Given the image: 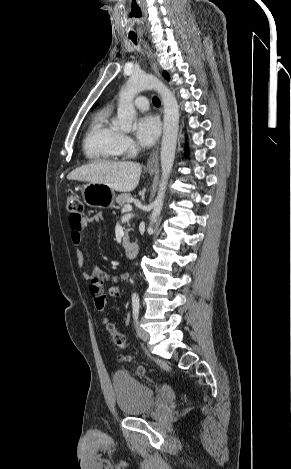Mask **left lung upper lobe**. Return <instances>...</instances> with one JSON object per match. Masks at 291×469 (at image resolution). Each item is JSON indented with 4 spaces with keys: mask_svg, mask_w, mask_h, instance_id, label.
I'll use <instances>...</instances> for the list:
<instances>
[{
    "mask_svg": "<svg viewBox=\"0 0 291 469\" xmlns=\"http://www.w3.org/2000/svg\"><path fill=\"white\" fill-rule=\"evenodd\" d=\"M163 75L167 80H169V75L166 72H164Z\"/></svg>",
    "mask_w": 291,
    "mask_h": 469,
    "instance_id": "5c2ea615",
    "label": "left lung upper lobe"
}]
</instances>
